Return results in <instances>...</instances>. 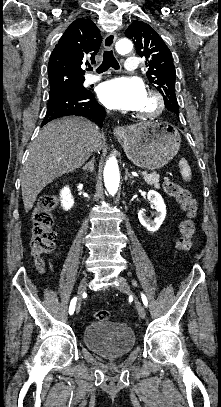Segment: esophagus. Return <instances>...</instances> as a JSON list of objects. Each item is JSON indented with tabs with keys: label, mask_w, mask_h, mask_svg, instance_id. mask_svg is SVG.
<instances>
[{
	"label": "esophagus",
	"mask_w": 221,
	"mask_h": 407,
	"mask_svg": "<svg viewBox=\"0 0 221 407\" xmlns=\"http://www.w3.org/2000/svg\"><path fill=\"white\" fill-rule=\"evenodd\" d=\"M117 38V34L116 33H108L103 41V47L105 50H111L114 46V43L116 41ZM127 132V128H125L124 126H116L113 129V134L116 137H122L124 136V134Z\"/></svg>",
	"instance_id": "34e87169"
}]
</instances>
